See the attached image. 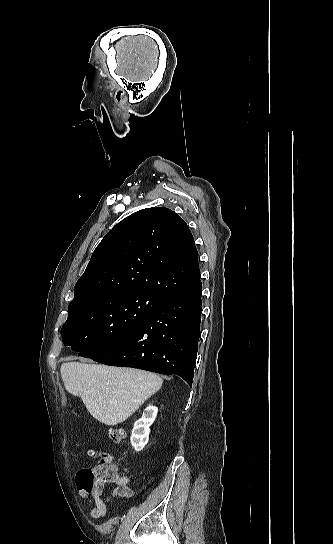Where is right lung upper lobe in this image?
<instances>
[{"label": "right lung upper lobe", "instance_id": "cb5924a9", "mask_svg": "<svg viewBox=\"0 0 333 544\" xmlns=\"http://www.w3.org/2000/svg\"><path fill=\"white\" fill-rule=\"evenodd\" d=\"M198 252L185 221L153 207L125 218L102 239L71 301L144 292L164 299L199 284Z\"/></svg>", "mask_w": 333, "mask_h": 544}]
</instances>
